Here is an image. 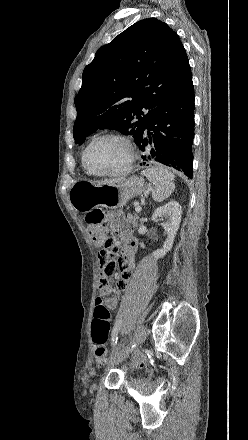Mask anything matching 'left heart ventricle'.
I'll return each instance as SVG.
<instances>
[{"instance_id":"obj_1","label":"left heart ventricle","mask_w":248,"mask_h":440,"mask_svg":"<svg viewBox=\"0 0 248 440\" xmlns=\"http://www.w3.org/2000/svg\"><path fill=\"white\" fill-rule=\"evenodd\" d=\"M128 159L126 145L115 138L96 142L88 153L89 167L95 172H112L124 167Z\"/></svg>"}]
</instances>
